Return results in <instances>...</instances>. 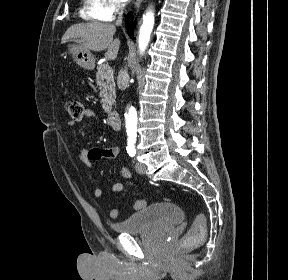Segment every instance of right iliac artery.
<instances>
[{
	"label": "right iliac artery",
	"instance_id": "82829eb1",
	"mask_svg": "<svg viewBox=\"0 0 288 280\" xmlns=\"http://www.w3.org/2000/svg\"><path fill=\"white\" fill-rule=\"evenodd\" d=\"M127 152L131 157H133L136 154V149H135L134 143L128 142Z\"/></svg>",
	"mask_w": 288,
	"mask_h": 280
}]
</instances>
